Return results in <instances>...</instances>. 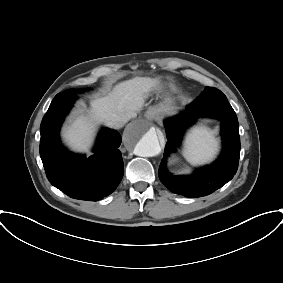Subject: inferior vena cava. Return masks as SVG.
I'll return each mask as SVG.
<instances>
[{
    "instance_id": "obj_1",
    "label": "inferior vena cava",
    "mask_w": 283,
    "mask_h": 283,
    "mask_svg": "<svg viewBox=\"0 0 283 283\" xmlns=\"http://www.w3.org/2000/svg\"><path fill=\"white\" fill-rule=\"evenodd\" d=\"M124 122L122 121H111V122H108V126H110L111 128H114V129H119V128H122L124 126Z\"/></svg>"
}]
</instances>
